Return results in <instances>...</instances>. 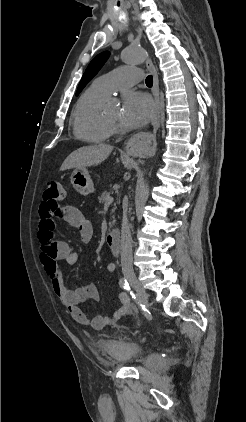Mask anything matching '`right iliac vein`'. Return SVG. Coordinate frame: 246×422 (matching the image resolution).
<instances>
[{
    "instance_id": "right-iliac-vein-1",
    "label": "right iliac vein",
    "mask_w": 246,
    "mask_h": 422,
    "mask_svg": "<svg viewBox=\"0 0 246 422\" xmlns=\"http://www.w3.org/2000/svg\"><path fill=\"white\" fill-rule=\"evenodd\" d=\"M125 277L137 293L138 304L140 306L148 307L149 303L147 293L137 280L135 274L132 272H126Z\"/></svg>"
}]
</instances>
